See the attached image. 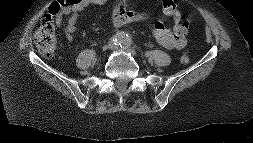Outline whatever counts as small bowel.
<instances>
[{"label": "small bowel", "mask_w": 253, "mask_h": 143, "mask_svg": "<svg viewBox=\"0 0 253 143\" xmlns=\"http://www.w3.org/2000/svg\"><path fill=\"white\" fill-rule=\"evenodd\" d=\"M110 0H74L70 5L61 7L55 15V23L63 32L67 41H72L77 28L80 13L89 6L104 5ZM130 0H116L111 10V21L115 27H121L134 22L150 23L156 41L166 49L181 50L186 46V37L177 32V24L182 20L179 11H173L176 6L173 0H163L162 9L166 16L173 17L175 21L174 32L161 21L151 22L147 15L132 11L129 8ZM65 16H69L67 21Z\"/></svg>", "instance_id": "obj_1"}]
</instances>
